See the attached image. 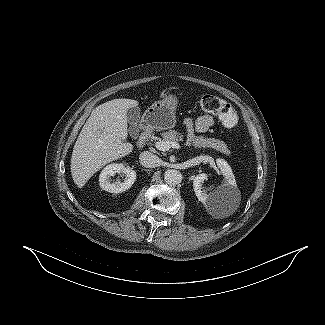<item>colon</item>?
Here are the masks:
<instances>
[{"instance_id": "5ec220e1", "label": "colon", "mask_w": 325, "mask_h": 325, "mask_svg": "<svg viewBox=\"0 0 325 325\" xmlns=\"http://www.w3.org/2000/svg\"><path fill=\"white\" fill-rule=\"evenodd\" d=\"M199 105L202 110L216 115L226 128H235L239 118L236 110L225 100L215 95H204L200 98Z\"/></svg>"}]
</instances>
